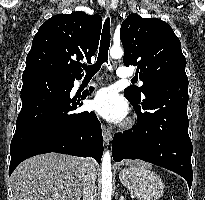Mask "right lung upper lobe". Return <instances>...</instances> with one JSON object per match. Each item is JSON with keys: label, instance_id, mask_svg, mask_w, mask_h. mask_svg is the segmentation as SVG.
I'll use <instances>...</instances> for the list:
<instances>
[{"label": "right lung upper lobe", "instance_id": "1", "mask_svg": "<svg viewBox=\"0 0 205 200\" xmlns=\"http://www.w3.org/2000/svg\"><path fill=\"white\" fill-rule=\"evenodd\" d=\"M102 18L85 12L58 14L44 22L32 41L23 75L50 73L80 79L81 61L90 62L101 33Z\"/></svg>", "mask_w": 205, "mask_h": 200}]
</instances>
